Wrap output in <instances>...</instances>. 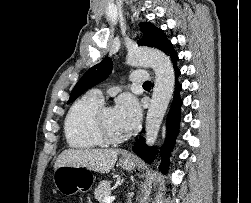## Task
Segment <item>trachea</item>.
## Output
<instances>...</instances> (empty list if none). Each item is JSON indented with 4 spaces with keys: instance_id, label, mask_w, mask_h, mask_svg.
Masks as SVG:
<instances>
[{
    "instance_id": "trachea-1",
    "label": "trachea",
    "mask_w": 251,
    "mask_h": 203,
    "mask_svg": "<svg viewBox=\"0 0 251 203\" xmlns=\"http://www.w3.org/2000/svg\"><path fill=\"white\" fill-rule=\"evenodd\" d=\"M143 86H151V82L150 81H147L143 84Z\"/></svg>"
}]
</instances>
